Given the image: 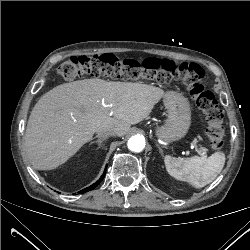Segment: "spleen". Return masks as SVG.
I'll return each instance as SVG.
<instances>
[{
	"mask_svg": "<svg viewBox=\"0 0 250 250\" xmlns=\"http://www.w3.org/2000/svg\"><path fill=\"white\" fill-rule=\"evenodd\" d=\"M167 172L177 180L186 181L195 188L211 183L222 171L225 154L215 152L209 157L193 156L176 158L169 155L164 158Z\"/></svg>",
	"mask_w": 250,
	"mask_h": 250,
	"instance_id": "3e777b00",
	"label": "spleen"
}]
</instances>
